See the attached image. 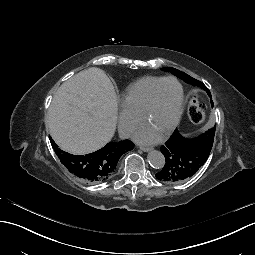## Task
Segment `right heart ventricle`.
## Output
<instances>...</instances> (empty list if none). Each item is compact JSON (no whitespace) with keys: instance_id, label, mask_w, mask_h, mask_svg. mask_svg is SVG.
<instances>
[{"instance_id":"right-heart-ventricle-1","label":"right heart ventricle","mask_w":255,"mask_h":255,"mask_svg":"<svg viewBox=\"0 0 255 255\" xmlns=\"http://www.w3.org/2000/svg\"><path fill=\"white\" fill-rule=\"evenodd\" d=\"M163 79L162 77H144L132 83L119 98L121 107L140 118L153 88Z\"/></svg>"}]
</instances>
